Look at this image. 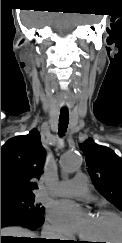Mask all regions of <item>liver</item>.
Returning <instances> with one entry per match:
<instances>
[{"label": "liver", "mask_w": 122, "mask_h": 243, "mask_svg": "<svg viewBox=\"0 0 122 243\" xmlns=\"http://www.w3.org/2000/svg\"><path fill=\"white\" fill-rule=\"evenodd\" d=\"M1 236L35 238V234L22 227H6L1 229Z\"/></svg>", "instance_id": "liver-1"}]
</instances>
